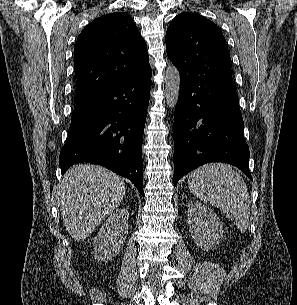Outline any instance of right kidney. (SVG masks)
Returning a JSON list of instances; mask_svg holds the SVG:
<instances>
[{"mask_svg": "<svg viewBox=\"0 0 297 305\" xmlns=\"http://www.w3.org/2000/svg\"><path fill=\"white\" fill-rule=\"evenodd\" d=\"M128 218V210L120 208L104 222L93 243L95 259L108 261L119 254L128 234Z\"/></svg>", "mask_w": 297, "mask_h": 305, "instance_id": "obj_1", "label": "right kidney"}]
</instances>
